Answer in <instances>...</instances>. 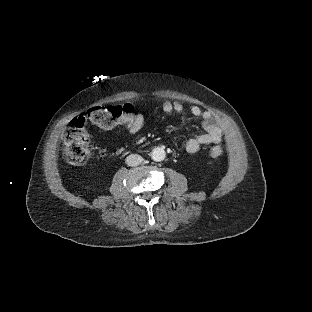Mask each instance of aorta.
Segmentation results:
<instances>
[{"label": "aorta", "instance_id": "1", "mask_svg": "<svg viewBox=\"0 0 312 312\" xmlns=\"http://www.w3.org/2000/svg\"><path fill=\"white\" fill-rule=\"evenodd\" d=\"M151 157L154 161H163L166 157V152L162 147H156L152 150Z\"/></svg>", "mask_w": 312, "mask_h": 312}]
</instances>
